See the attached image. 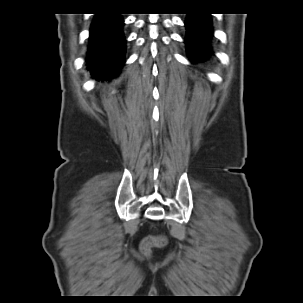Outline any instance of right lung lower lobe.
I'll return each instance as SVG.
<instances>
[{
  "label": "right lung lower lobe",
  "mask_w": 303,
  "mask_h": 303,
  "mask_svg": "<svg viewBox=\"0 0 303 303\" xmlns=\"http://www.w3.org/2000/svg\"><path fill=\"white\" fill-rule=\"evenodd\" d=\"M120 14H97L90 30L88 69L93 78L107 80L115 77L125 56V37Z\"/></svg>",
  "instance_id": "obj_1"
}]
</instances>
